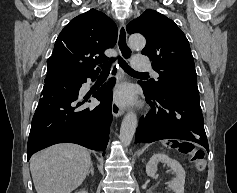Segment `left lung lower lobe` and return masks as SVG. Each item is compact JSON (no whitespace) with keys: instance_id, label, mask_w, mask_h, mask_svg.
<instances>
[{"instance_id":"0a47b994","label":"left lung lower lobe","mask_w":237,"mask_h":193,"mask_svg":"<svg viewBox=\"0 0 237 193\" xmlns=\"http://www.w3.org/2000/svg\"><path fill=\"white\" fill-rule=\"evenodd\" d=\"M140 85L152 112L140 119L135 143L173 138L196 142L209 152L199 94L171 92L157 95L141 82Z\"/></svg>"}]
</instances>
